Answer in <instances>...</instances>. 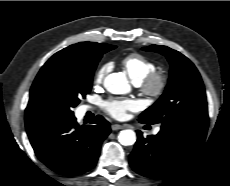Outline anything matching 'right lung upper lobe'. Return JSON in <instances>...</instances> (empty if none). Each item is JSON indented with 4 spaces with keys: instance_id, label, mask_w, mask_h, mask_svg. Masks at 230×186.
I'll use <instances>...</instances> for the list:
<instances>
[{
    "instance_id": "1",
    "label": "right lung upper lobe",
    "mask_w": 230,
    "mask_h": 186,
    "mask_svg": "<svg viewBox=\"0 0 230 186\" xmlns=\"http://www.w3.org/2000/svg\"><path fill=\"white\" fill-rule=\"evenodd\" d=\"M102 44L104 43L81 42L71 45L54 54L47 63L63 56L82 57L93 54ZM48 120L52 119L41 100L37 79H35L30 90V99L25 110L26 129L40 125Z\"/></svg>"
}]
</instances>
